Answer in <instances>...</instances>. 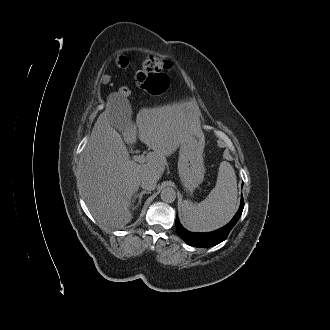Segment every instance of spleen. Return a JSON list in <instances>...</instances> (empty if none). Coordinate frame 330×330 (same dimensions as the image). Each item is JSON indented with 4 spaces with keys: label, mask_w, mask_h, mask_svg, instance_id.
<instances>
[{
    "label": "spleen",
    "mask_w": 330,
    "mask_h": 330,
    "mask_svg": "<svg viewBox=\"0 0 330 330\" xmlns=\"http://www.w3.org/2000/svg\"><path fill=\"white\" fill-rule=\"evenodd\" d=\"M237 210V179L227 161L220 163L215 187L205 200L193 204L184 200L181 204L185 226L195 232L213 231L227 224Z\"/></svg>",
    "instance_id": "spleen-1"
}]
</instances>
